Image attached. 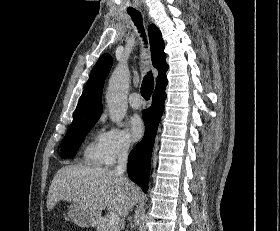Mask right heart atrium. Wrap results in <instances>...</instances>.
Listing matches in <instances>:
<instances>
[{
	"label": "right heart atrium",
	"instance_id": "obj_1",
	"mask_svg": "<svg viewBox=\"0 0 280 231\" xmlns=\"http://www.w3.org/2000/svg\"><path fill=\"white\" fill-rule=\"evenodd\" d=\"M99 143L104 159V163L111 165L115 160L126 154L132 147L129 138L115 128L103 132L100 135Z\"/></svg>",
	"mask_w": 280,
	"mask_h": 231
}]
</instances>
